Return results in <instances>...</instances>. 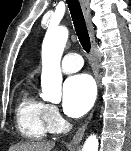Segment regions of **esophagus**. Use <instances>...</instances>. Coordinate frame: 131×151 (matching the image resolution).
Wrapping results in <instances>:
<instances>
[{
  "mask_svg": "<svg viewBox=\"0 0 131 151\" xmlns=\"http://www.w3.org/2000/svg\"><path fill=\"white\" fill-rule=\"evenodd\" d=\"M83 14L85 17L88 33L91 40V60H92V69L93 74L96 80L97 85H99V70H98V60H97V54H96V41H95V35H94V27L91 22V13L89 8V0H80ZM88 121H86L75 133L73 136L70 144L71 145H77L81 142V140L84 137L85 130L87 128Z\"/></svg>",
  "mask_w": 131,
  "mask_h": 151,
  "instance_id": "1",
  "label": "esophagus"
}]
</instances>
